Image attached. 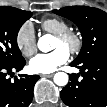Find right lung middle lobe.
Listing matches in <instances>:
<instances>
[{"mask_svg":"<svg viewBox=\"0 0 107 107\" xmlns=\"http://www.w3.org/2000/svg\"><path fill=\"white\" fill-rule=\"evenodd\" d=\"M31 12L14 7H0V63L13 64L23 60L17 45V34Z\"/></svg>","mask_w":107,"mask_h":107,"instance_id":"obj_1","label":"right lung middle lobe"}]
</instances>
